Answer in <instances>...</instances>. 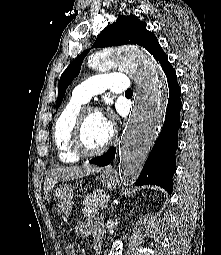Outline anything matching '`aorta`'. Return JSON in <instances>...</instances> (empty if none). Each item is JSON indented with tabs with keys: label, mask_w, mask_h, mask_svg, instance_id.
<instances>
[{
	"label": "aorta",
	"mask_w": 221,
	"mask_h": 255,
	"mask_svg": "<svg viewBox=\"0 0 221 255\" xmlns=\"http://www.w3.org/2000/svg\"><path fill=\"white\" fill-rule=\"evenodd\" d=\"M91 68L105 71L119 67L138 82L126 132L119 145V174L134 182L149 155L164 121L167 89L156 61L139 47H125L111 53L98 52L88 59ZM123 242L116 239L109 255H122Z\"/></svg>",
	"instance_id": "aorta-1"
}]
</instances>
